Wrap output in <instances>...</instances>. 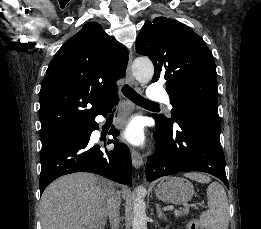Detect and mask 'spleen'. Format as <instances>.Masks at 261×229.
<instances>
[{
  "instance_id": "1",
  "label": "spleen",
  "mask_w": 261,
  "mask_h": 229,
  "mask_svg": "<svg viewBox=\"0 0 261 229\" xmlns=\"http://www.w3.org/2000/svg\"><path fill=\"white\" fill-rule=\"evenodd\" d=\"M191 181L198 183H210V177L200 173H185ZM207 201L209 211L202 213L200 217L203 229H228L229 205L224 187L219 183H211L207 189Z\"/></svg>"
}]
</instances>
